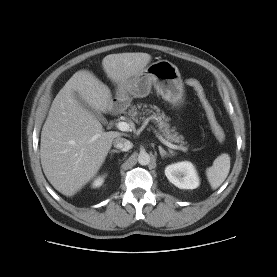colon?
I'll list each match as a JSON object with an SVG mask.
<instances>
[{"mask_svg":"<svg viewBox=\"0 0 277 277\" xmlns=\"http://www.w3.org/2000/svg\"><path fill=\"white\" fill-rule=\"evenodd\" d=\"M186 83L191 88H193V90L195 91V93L200 101V104L202 106V109L204 111V114L207 119L210 130L213 133L215 139L218 142L223 143L226 138L225 131H224L222 125L220 124V122L218 121L216 113L205 94L203 86L201 85V83L198 80H196L194 78L187 79Z\"/></svg>","mask_w":277,"mask_h":277,"instance_id":"5ec220e1","label":"colon"}]
</instances>
